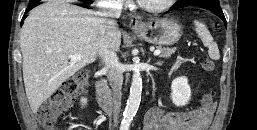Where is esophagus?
<instances>
[{"label": "esophagus", "mask_w": 257, "mask_h": 130, "mask_svg": "<svg viewBox=\"0 0 257 130\" xmlns=\"http://www.w3.org/2000/svg\"><path fill=\"white\" fill-rule=\"evenodd\" d=\"M130 27L132 29H138L144 26V22L141 17L139 16H133L130 20Z\"/></svg>", "instance_id": "obj_1"}]
</instances>
